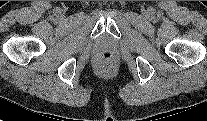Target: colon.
<instances>
[{
	"mask_svg": "<svg viewBox=\"0 0 207 121\" xmlns=\"http://www.w3.org/2000/svg\"><path fill=\"white\" fill-rule=\"evenodd\" d=\"M97 68L102 72L112 71L116 65V58L111 52H102L95 60Z\"/></svg>",
	"mask_w": 207,
	"mask_h": 121,
	"instance_id": "1",
	"label": "colon"
}]
</instances>
